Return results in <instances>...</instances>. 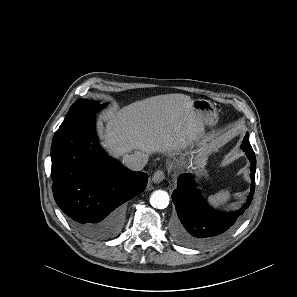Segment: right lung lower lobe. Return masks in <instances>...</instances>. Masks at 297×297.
I'll return each mask as SVG.
<instances>
[{"label":"right lung lower lobe","instance_id":"98d812e1","mask_svg":"<svg viewBox=\"0 0 297 297\" xmlns=\"http://www.w3.org/2000/svg\"><path fill=\"white\" fill-rule=\"evenodd\" d=\"M51 160L54 199L75 229L92 239L117 235L122 204L144 191L148 175L126 169L99 149L94 116L57 130Z\"/></svg>","mask_w":297,"mask_h":297}]
</instances>
